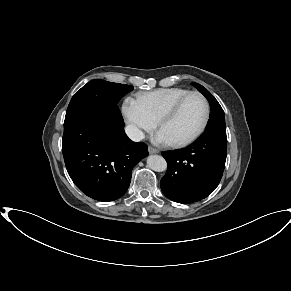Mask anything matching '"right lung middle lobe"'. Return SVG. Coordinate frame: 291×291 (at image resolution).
I'll list each match as a JSON object with an SVG mask.
<instances>
[{
  "mask_svg": "<svg viewBox=\"0 0 291 291\" xmlns=\"http://www.w3.org/2000/svg\"><path fill=\"white\" fill-rule=\"evenodd\" d=\"M133 86L112 83L101 79L88 82L72 97L65 120L86 121L93 115L117 105Z\"/></svg>",
  "mask_w": 291,
  "mask_h": 291,
  "instance_id": "right-lung-middle-lobe-1",
  "label": "right lung middle lobe"
}]
</instances>
